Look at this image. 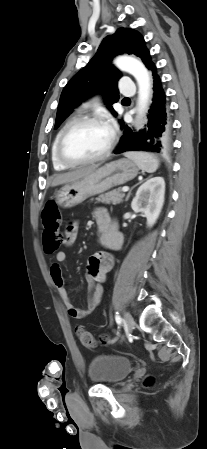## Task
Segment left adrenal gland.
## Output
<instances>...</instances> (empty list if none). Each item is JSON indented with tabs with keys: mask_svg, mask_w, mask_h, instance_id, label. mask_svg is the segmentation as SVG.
I'll return each instance as SVG.
<instances>
[{
	"mask_svg": "<svg viewBox=\"0 0 207 449\" xmlns=\"http://www.w3.org/2000/svg\"><path fill=\"white\" fill-rule=\"evenodd\" d=\"M137 185H138V184H137ZM135 186H136V185H135ZM135 186H134V187H135ZM134 187H133V188H134ZM133 188H131V190L128 192L125 201H127V200L129 199V197H130V195H131V191H132Z\"/></svg>",
	"mask_w": 207,
	"mask_h": 449,
	"instance_id": "1",
	"label": "left adrenal gland"
}]
</instances>
